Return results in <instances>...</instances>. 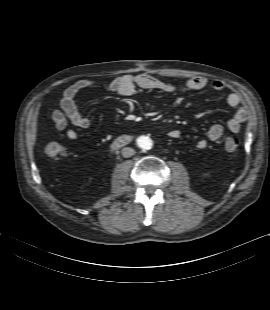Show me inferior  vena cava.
Returning a JSON list of instances; mask_svg holds the SVG:
<instances>
[{"label":"inferior vena cava","instance_id":"inferior-vena-cava-1","mask_svg":"<svg viewBox=\"0 0 270 310\" xmlns=\"http://www.w3.org/2000/svg\"><path fill=\"white\" fill-rule=\"evenodd\" d=\"M135 150L131 147H125L122 149V156L125 158L131 157L132 155H134Z\"/></svg>","mask_w":270,"mask_h":310}]
</instances>
